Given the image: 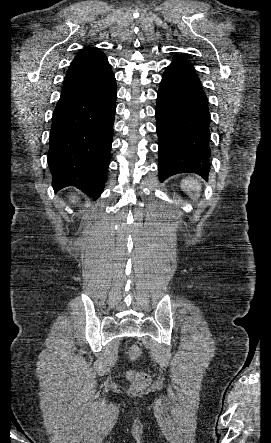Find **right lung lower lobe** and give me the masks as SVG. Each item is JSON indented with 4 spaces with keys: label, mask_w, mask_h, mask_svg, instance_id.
I'll use <instances>...</instances> for the list:
<instances>
[{
    "label": "right lung lower lobe",
    "mask_w": 271,
    "mask_h": 443,
    "mask_svg": "<svg viewBox=\"0 0 271 443\" xmlns=\"http://www.w3.org/2000/svg\"><path fill=\"white\" fill-rule=\"evenodd\" d=\"M115 78L62 91L52 117L48 164L58 191L75 186L97 199L108 171L116 107Z\"/></svg>",
    "instance_id": "right-lung-lower-lobe-1"
}]
</instances>
